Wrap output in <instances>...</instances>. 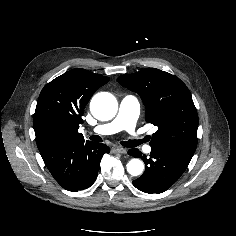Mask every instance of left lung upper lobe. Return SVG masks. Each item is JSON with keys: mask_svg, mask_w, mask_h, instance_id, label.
I'll return each instance as SVG.
<instances>
[{"mask_svg": "<svg viewBox=\"0 0 236 236\" xmlns=\"http://www.w3.org/2000/svg\"><path fill=\"white\" fill-rule=\"evenodd\" d=\"M117 81L141 96L146 122L158 127L149 137L151 147L191 160L197 147L199 120L186 85L156 68L123 75Z\"/></svg>", "mask_w": 236, "mask_h": 236, "instance_id": "1", "label": "left lung upper lobe"}]
</instances>
